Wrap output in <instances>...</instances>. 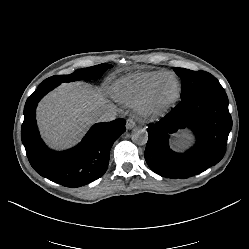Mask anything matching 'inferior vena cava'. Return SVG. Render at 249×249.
Returning <instances> with one entry per match:
<instances>
[{
    "instance_id": "obj_1",
    "label": "inferior vena cava",
    "mask_w": 249,
    "mask_h": 249,
    "mask_svg": "<svg viewBox=\"0 0 249 249\" xmlns=\"http://www.w3.org/2000/svg\"><path fill=\"white\" fill-rule=\"evenodd\" d=\"M117 112L114 107L102 106L98 111L94 113V119L96 121L109 122L115 120Z\"/></svg>"
}]
</instances>
